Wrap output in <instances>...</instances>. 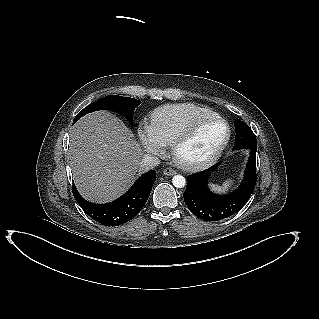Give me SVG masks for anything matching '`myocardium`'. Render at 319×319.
Wrapping results in <instances>:
<instances>
[{"mask_svg":"<svg viewBox=\"0 0 319 319\" xmlns=\"http://www.w3.org/2000/svg\"><path fill=\"white\" fill-rule=\"evenodd\" d=\"M210 121H219L221 122L225 127V135L222 139V141L219 143V145L213 150V152L208 155L207 157L195 160V161H189L183 159L180 154V148L187 143L199 130V128ZM231 138V128L229 123L219 116L218 114H213L209 116H204L201 118H198L191 122L172 142L171 144V154L173 157L174 162L181 168L188 170V171H198L205 169L212 164H214L219 157L222 155L223 151L227 147L229 141Z\"/></svg>","mask_w":319,"mask_h":319,"instance_id":"1","label":"myocardium"}]
</instances>
